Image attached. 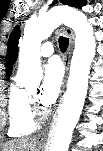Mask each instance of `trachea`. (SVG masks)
Returning a JSON list of instances; mask_svg holds the SVG:
<instances>
[{"label": "trachea", "instance_id": "3493384b", "mask_svg": "<svg viewBox=\"0 0 103 151\" xmlns=\"http://www.w3.org/2000/svg\"><path fill=\"white\" fill-rule=\"evenodd\" d=\"M69 44V39L66 37L59 38V47L62 52L66 51Z\"/></svg>", "mask_w": 103, "mask_h": 151}]
</instances>
